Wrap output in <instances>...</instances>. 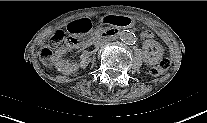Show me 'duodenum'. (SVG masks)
<instances>
[{
	"label": "duodenum",
	"instance_id": "410a0bca",
	"mask_svg": "<svg viewBox=\"0 0 207 123\" xmlns=\"http://www.w3.org/2000/svg\"><path fill=\"white\" fill-rule=\"evenodd\" d=\"M118 34V30L117 29H109L101 34H99L98 36L95 37V41L97 40H107L109 38H112L114 36H116Z\"/></svg>",
	"mask_w": 207,
	"mask_h": 123
}]
</instances>
